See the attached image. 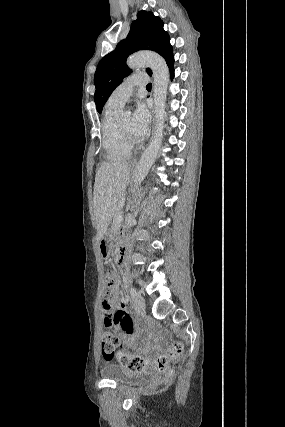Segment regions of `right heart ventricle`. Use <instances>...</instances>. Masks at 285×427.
I'll return each mask as SVG.
<instances>
[{
    "label": "right heart ventricle",
    "instance_id": "1",
    "mask_svg": "<svg viewBox=\"0 0 285 427\" xmlns=\"http://www.w3.org/2000/svg\"><path fill=\"white\" fill-rule=\"evenodd\" d=\"M121 107L105 105L102 119V146L107 157L112 161L127 160L132 153V146L127 144L118 128V113Z\"/></svg>",
    "mask_w": 285,
    "mask_h": 427
}]
</instances>
